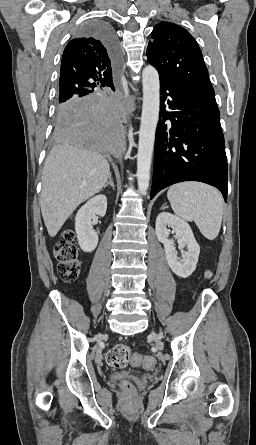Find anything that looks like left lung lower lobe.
I'll return each mask as SVG.
<instances>
[{
	"instance_id": "0a47b994",
	"label": "left lung lower lobe",
	"mask_w": 256,
	"mask_h": 445,
	"mask_svg": "<svg viewBox=\"0 0 256 445\" xmlns=\"http://www.w3.org/2000/svg\"><path fill=\"white\" fill-rule=\"evenodd\" d=\"M160 94L151 199L172 184L200 181L217 187L226 201L227 159L215 96L165 78Z\"/></svg>"
}]
</instances>
